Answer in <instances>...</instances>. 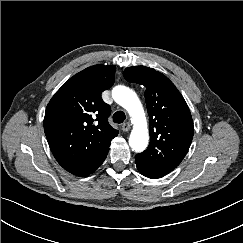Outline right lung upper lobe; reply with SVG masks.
<instances>
[{
	"label": "right lung upper lobe",
	"mask_w": 243,
	"mask_h": 243,
	"mask_svg": "<svg viewBox=\"0 0 243 243\" xmlns=\"http://www.w3.org/2000/svg\"><path fill=\"white\" fill-rule=\"evenodd\" d=\"M115 66L94 65L75 74L47 105L44 131L57 162L77 176L93 173L118 135L101 93L114 83Z\"/></svg>",
	"instance_id": "right-lung-upper-lobe-1"
}]
</instances>
